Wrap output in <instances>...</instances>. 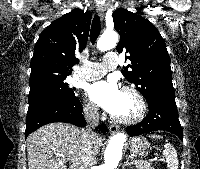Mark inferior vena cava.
<instances>
[{"instance_id": "inferior-vena-cava-1", "label": "inferior vena cava", "mask_w": 200, "mask_h": 169, "mask_svg": "<svg viewBox=\"0 0 200 169\" xmlns=\"http://www.w3.org/2000/svg\"><path fill=\"white\" fill-rule=\"evenodd\" d=\"M84 115L89 125L94 127L99 124V113L96 105L91 104L86 106ZM94 136L95 133L90 127H86V129L82 131V157L80 169H92L95 164Z\"/></svg>"}]
</instances>
